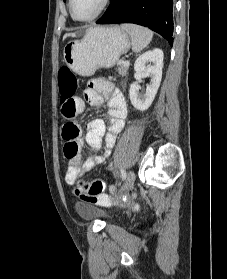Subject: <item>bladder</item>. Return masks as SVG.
<instances>
[{
    "label": "bladder",
    "instance_id": "bladder-1",
    "mask_svg": "<svg viewBox=\"0 0 227 279\" xmlns=\"http://www.w3.org/2000/svg\"><path fill=\"white\" fill-rule=\"evenodd\" d=\"M76 208L78 213L85 219H95L97 217H104L107 219V214L95 206L88 204H78Z\"/></svg>",
    "mask_w": 227,
    "mask_h": 279
}]
</instances>
